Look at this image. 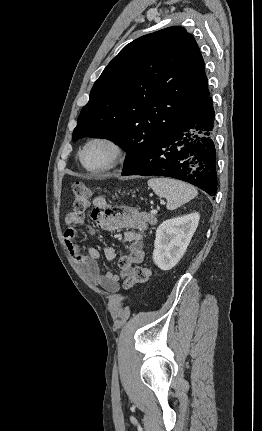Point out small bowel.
<instances>
[{"label":"small bowel","instance_id":"c3829d8e","mask_svg":"<svg viewBox=\"0 0 262 431\" xmlns=\"http://www.w3.org/2000/svg\"><path fill=\"white\" fill-rule=\"evenodd\" d=\"M92 206L93 218L99 227L110 232H123V242L127 245L129 253L122 258L120 274L100 269L98 264L100 253L96 248L88 247L85 253L82 251L75 242L76 231L73 227L75 222L71 215L65 219V243L79 270L92 284L109 293L117 294L123 288V281L130 277L132 265L141 262L144 258L143 241L147 236L148 225L152 222V218L143 212L128 208L117 209L109 215L104 208L105 200L102 197H94ZM104 255L107 260L114 261L117 251L114 247H106Z\"/></svg>","mask_w":262,"mask_h":431}]
</instances>
